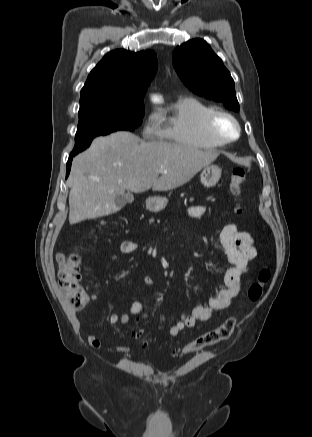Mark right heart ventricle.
Masks as SVG:
<instances>
[{
	"label": "right heart ventricle",
	"mask_w": 312,
	"mask_h": 437,
	"mask_svg": "<svg viewBox=\"0 0 312 437\" xmlns=\"http://www.w3.org/2000/svg\"><path fill=\"white\" fill-rule=\"evenodd\" d=\"M212 108L195 97L178 99L171 113L163 119L162 139L168 143L195 147L218 148L220 144L208 136L204 129L205 116Z\"/></svg>",
	"instance_id": "1"
}]
</instances>
